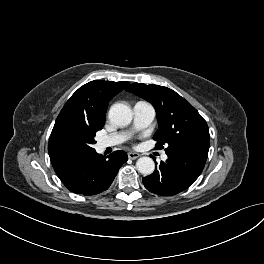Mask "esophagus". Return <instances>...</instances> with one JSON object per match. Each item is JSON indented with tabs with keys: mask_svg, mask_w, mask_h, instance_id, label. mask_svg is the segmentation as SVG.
Listing matches in <instances>:
<instances>
[{
	"mask_svg": "<svg viewBox=\"0 0 264 264\" xmlns=\"http://www.w3.org/2000/svg\"><path fill=\"white\" fill-rule=\"evenodd\" d=\"M128 157H129L130 159H137V158L140 157V154H139V153H135V152H129V153H128Z\"/></svg>",
	"mask_w": 264,
	"mask_h": 264,
	"instance_id": "34e87169",
	"label": "esophagus"
}]
</instances>
